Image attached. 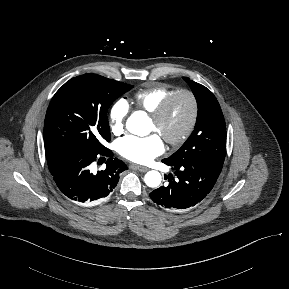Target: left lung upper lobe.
Masks as SVG:
<instances>
[{
	"label": "left lung upper lobe",
	"instance_id": "obj_1",
	"mask_svg": "<svg viewBox=\"0 0 289 289\" xmlns=\"http://www.w3.org/2000/svg\"><path fill=\"white\" fill-rule=\"evenodd\" d=\"M198 104L195 129L181 148L164 159L171 165L197 161H213L223 164L226 153V124L220 105L214 94L205 86L183 78Z\"/></svg>",
	"mask_w": 289,
	"mask_h": 289
}]
</instances>
